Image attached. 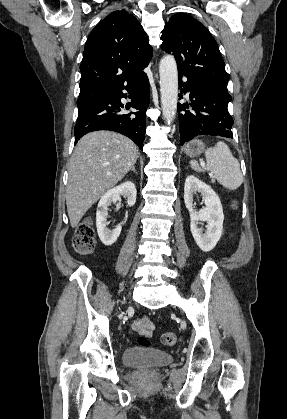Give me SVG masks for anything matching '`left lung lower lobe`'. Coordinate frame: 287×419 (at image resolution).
Returning a JSON list of instances; mask_svg holds the SVG:
<instances>
[{"label":"left lung lower lobe","instance_id":"1","mask_svg":"<svg viewBox=\"0 0 287 419\" xmlns=\"http://www.w3.org/2000/svg\"><path fill=\"white\" fill-rule=\"evenodd\" d=\"M181 78L179 76L181 94L189 92L193 112L186 110L188 103L177 105L180 145L204 135L232 138L233 118L227 109L232 98L227 89L191 80L183 83Z\"/></svg>","mask_w":287,"mask_h":419}]
</instances>
